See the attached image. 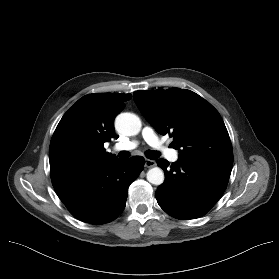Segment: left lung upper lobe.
Instances as JSON below:
<instances>
[{
	"mask_svg": "<svg viewBox=\"0 0 279 279\" xmlns=\"http://www.w3.org/2000/svg\"><path fill=\"white\" fill-rule=\"evenodd\" d=\"M134 101L162 135L173 137L179 158L233 163V151L218 111L198 94L180 88L136 91Z\"/></svg>",
	"mask_w": 279,
	"mask_h": 279,
	"instance_id": "obj_1",
	"label": "left lung upper lobe"
}]
</instances>
